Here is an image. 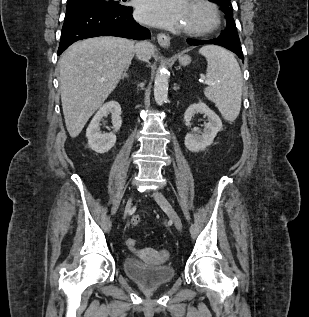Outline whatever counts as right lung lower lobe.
Segmentation results:
<instances>
[{
  "instance_id": "1",
  "label": "right lung lower lobe",
  "mask_w": 309,
  "mask_h": 317,
  "mask_svg": "<svg viewBox=\"0 0 309 317\" xmlns=\"http://www.w3.org/2000/svg\"><path fill=\"white\" fill-rule=\"evenodd\" d=\"M109 35L135 40L151 38L149 30L137 24L133 19L132 7L113 9L93 4L69 2L58 55L78 40Z\"/></svg>"
}]
</instances>
